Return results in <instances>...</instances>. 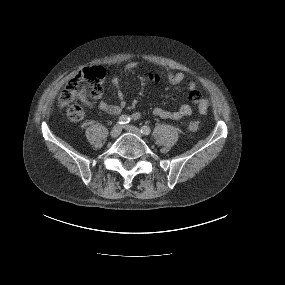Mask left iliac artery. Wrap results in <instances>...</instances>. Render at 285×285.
<instances>
[{
  "label": "left iliac artery",
  "instance_id": "1",
  "mask_svg": "<svg viewBox=\"0 0 285 285\" xmlns=\"http://www.w3.org/2000/svg\"><path fill=\"white\" fill-rule=\"evenodd\" d=\"M141 133H143L144 135H148V134L151 133V128L148 127V126H143V127L141 128Z\"/></svg>",
  "mask_w": 285,
  "mask_h": 285
}]
</instances>
